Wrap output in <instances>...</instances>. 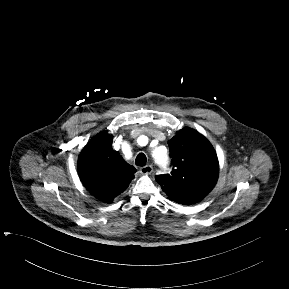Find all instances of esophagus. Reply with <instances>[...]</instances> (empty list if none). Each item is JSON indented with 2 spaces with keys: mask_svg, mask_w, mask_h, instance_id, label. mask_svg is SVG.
I'll return each mask as SVG.
<instances>
[{
  "mask_svg": "<svg viewBox=\"0 0 289 289\" xmlns=\"http://www.w3.org/2000/svg\"><path fill=\"white\" fill-rule=\"evenodd\" d=\"M153 172V168L151 165H146L140 168V173L143 175H149Z\"/></svg>",
  "mask_w": 289,
  "mask_h": 289,
  "instance_id": "1",
  "label": "esophagus"
}]
</instances>
